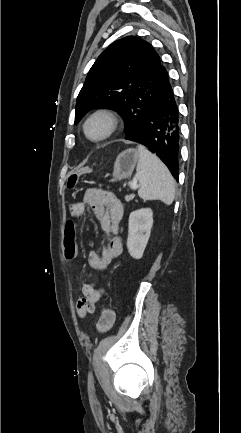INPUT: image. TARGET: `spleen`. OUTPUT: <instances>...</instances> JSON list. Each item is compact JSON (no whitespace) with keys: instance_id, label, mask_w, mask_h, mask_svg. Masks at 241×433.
Masks as SVG:
<instances>
[{"instance_id":"1","label":"spleen","mask_w":241,"mask_h":433,"mask_svg":"<svg viewBox=\"0 0 241 433\" xmlns=\"http://www.w3.org/2000/svg\"><path fill=\"white\" fill-rule=\"evenodd\" d=\"M136 178L138 195L144 201L160 200L171 205L175 198V181L164 163L143 146H138Z\"/></svg>"}]
</instances>
